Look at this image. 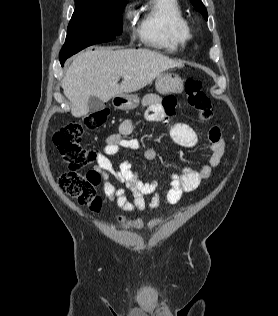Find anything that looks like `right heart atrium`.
<instances>
[{
    "instance_id": "1",
    "label": "right heart atrium",
    "mask_w": 278,
    "mask_h": 316,
    "mask_svg": "<svg viewBox=\"0 0 278 316\" xmlns=\"http://www.w3.org/2000/svg\"><path fill=\"white\" fill-rule=\"evenodd\" d=\"M134 15V12L131 7H128L124 12V19L130 20Z\"/></svg>"
}]
</instances>
